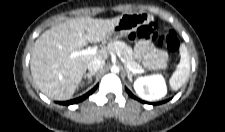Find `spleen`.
<instances>
[{
	"instance_id": "obj_1",
	"label": "spleen",
	"mask_w": 225,
	"mask_h": 132,
	"mask_svg": "<svg viewBox=\"0 0 225 132\" xmlns=\"http://www.w3.org/2000/svg\"><path fill=\"white\" fill-rule=\"evenodd\" d=\"M179 50L180 62L169 80L172 90H178L185 83L190 73V59L187 48L182 44Z\"/></svg>"
}]
</instances>
